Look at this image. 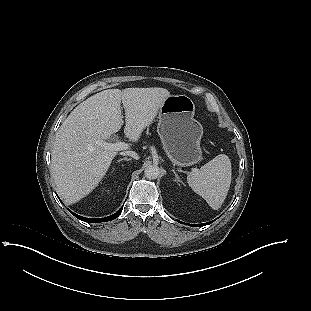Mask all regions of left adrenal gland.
<instances>
[{"mask_svg": "<svg viewBox=\"0 0 311 311\" xmlns=\"http://www.w3.org/2000/svg\"><path fill=\"white\" fill-rule=\"evenodd\" d=\"M172 171H173V173H174V175H175V177H176V178H175V181L182 182L181 179H180V177L178 176V174L175 172V170L173 169Z\"/></svg>", "mask_w": 311, "mask_h": 311, "instance_id": "obj_1", "label": "left adrenal gland"}]
</instances>
